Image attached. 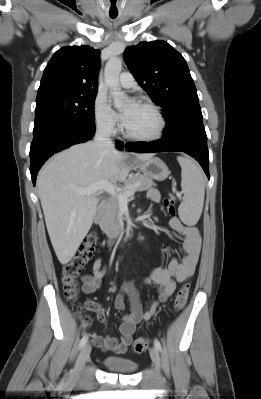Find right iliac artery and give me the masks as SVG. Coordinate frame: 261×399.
<instances>
[{"instance_id": "obj_1", "label": "right iliac artery", "mask_w": 261, "mask_h": 399, "mask_svg": "<svg viewBox=\"0 0 261 399\" xmlns=\"http://www.w3.org/2000/svg\"><path fill=\"white\" fill-rule=\"evenodd\" d=\"M87 341H88V336L87 335L83 336L79 343V348H82L87 343Z\"/></svg>"}]
</instances>
